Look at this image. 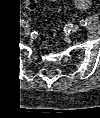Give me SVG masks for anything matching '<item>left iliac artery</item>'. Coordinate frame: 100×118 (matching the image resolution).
I'll return each mask as SVG.
<instances>
[{"label":"left iliac artery","mask_w":100,"mask_h":118,"mask_svg":"<svg viewBox=\"0 0 100 118\" xmlns=\"http://www.w3.org/2000/svg\"><path fill=\"white\" fill-rule=\"evenodd\" d=\"M79 23H80L81 26H86L87 25V22L83 19L80 20Z\"/></svg>","instance_id":"44dca946"}]
</instances>
